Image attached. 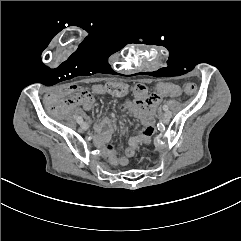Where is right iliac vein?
I'll return each instance as SVG.
<instances>
[{"mask_svg":"<svg viewBox=\"0 0 241 241\" xmlns=\"http://www.w3.org/2000/svg\"><path fill=\"white\" fill-rule=\"evenodd\" d=\"M80 126H81V128H82L83 130H87V129H88V124H87L86 122H82V123L80 124Z\"/></svg>","mask_w":241,"mask_h":241,"instance_id":"63e3f726","label":"right iliac vein"}]
</instances>
